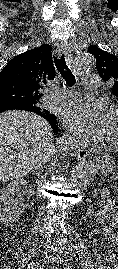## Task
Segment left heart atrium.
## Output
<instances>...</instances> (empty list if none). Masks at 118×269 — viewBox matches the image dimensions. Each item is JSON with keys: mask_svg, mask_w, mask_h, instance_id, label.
<instances>
[{"mask_svg": "<svg viewBox=\"0 0 118 269\" xmlns=\"http://www.w3.org/2000/svg\"><path fill=\"white\" fill-rule=\"evenodd\" d=\"M111 114L103 101H80L65 110L63 119L77 138L101 139L107 133Z\"/></svg>", "mask_w": 118, "mask_h": 269, "instance_id": "left-heart-atrium-1", "label": "left heart atrium"}]
</instances>
